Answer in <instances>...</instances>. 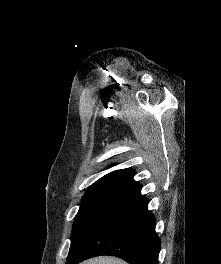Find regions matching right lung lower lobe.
I'll return each instance as SVG.
<instances>
[{
	"instance_id": "98d812e1",
	"label": "right lung lower lobe",
	"mask_w": 221,
	"mask_h": 264,
	"mask_svg": "<svg viewBox=\"0 0 221 264\" xmlns=\"http://www.w3.org/2000/svg\"><path fill=\"white\" fill-rule=\"evenodd\" d=\"M140 184L125 190L115 202L85 246L66 264H77L99 255H113L130 264H158L160 240L155 233V217Z\"/></svg>"
}]
</instances>
